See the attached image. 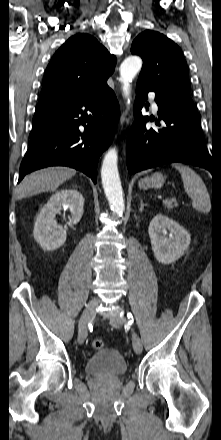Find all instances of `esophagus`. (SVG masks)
Returning <instances> with one entry per match:
<instances>
[{
    "label": "esophagus",
    "mask_w": 221,
    "mask_h": 440,
    "mask_svg": "<svg viewBox=\"0 0 221 440\" xmlns=\"http://www.w3.org/2000/svg\"><path fill=\"white\" fill-rule=\"evenodd\" d=\"M126 114H127V110H125V111L123 112V114H122V117H121V124H123L124 121L126 120Z\"/></svg>",
    "instance_id": "1"
}]
</instances>
